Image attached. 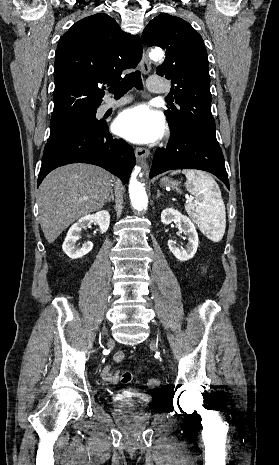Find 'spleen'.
<instances>
[{"label":"spleen","mask_w":279,"mask_h":465,"mask_svg":"<svg viewBox=\"0 0 279 465\" xmlns=\"http://www.w3.org/2000/svg\"><path fill=\"white\" fill-rule=\"evenodd\" d=\"M177 171L171 175L177 174ZM186 188L192 194V200L185 205V210L212 241L220 242L226 228V212L221 191L216 181L209 174L184 170Z\"/></svg>","instance_id":"1"}]
</instances>
